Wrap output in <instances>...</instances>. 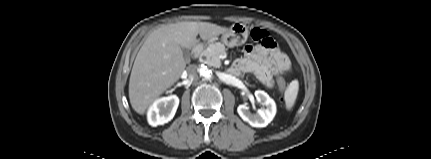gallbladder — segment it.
Segmentation results:
<instances>
[{"instance_id": "obj_1", "label": "gallbladder", "mask_w": 431, "mask_h": 159, "mask_svg": "<svg viewBox=\"0 0 431 159\" xmlns=\"http://www.w3.org/2000/svg\"><path fill=\"white\" fill-rule=\"evenodd\" d=\"M182 50H183V52H184V54H185V55H188V53H189V50H188V49H186V48H182Z\"/></svg>"}]
</instances>
